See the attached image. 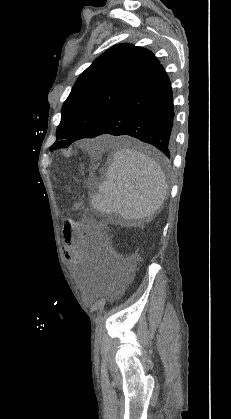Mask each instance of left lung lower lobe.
Here are the masks:
<instances>
[{
	"label": "left lung lower lobe",
	"mask_w": 231,
	"mask_h": 419,
	"mask_svg": "<svg viewBox=\"0 0 231 419\" xmlns=\"http://www.w3.org/2000/svg\"><path fill=\"white\" fill-rule=\"evenodd\" d=\"M173 96L162 65L151 71L88 137L129 135L170 158L174 143Z\"/></svg>",
	"instance_id": "left-lung-lower-lobe-1"
}]
</instances>
